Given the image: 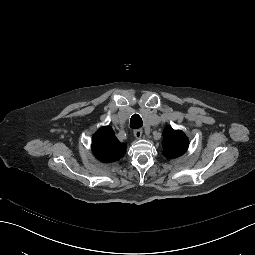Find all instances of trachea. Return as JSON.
<instances>
[{"label":"trachea","mask_w":255,"mask_h":255,"mask_svg":"<svg viewBox=\"0 0 255 255\" xmlns=\"http://www.w3.org/2000/svg\"><path fill=\"white\" fill-rule=\"evenodd\" d=\"M143 125L142 118L138 114H134L130 120V127L132 129H139Z\"/></svg>","instance_id":"trachea-1"}]
</instances>
